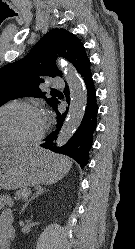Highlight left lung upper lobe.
I'll list each match as a JSON object with an SVG mask.
<instances>
[{"instance_id":"obj_1","label":"left lung upper lobe","mask_w":135,"mask_h":249,"mask_svg":"<svg viewBox=\"0 0 135 249\" xmlns=\"http://www.w3.org/2000/svg\"><path fill=\"white\" fill-rule=\"evenodd\" d=\"M56 55L69 60L80 74L90 62L82 42L65 29L46 33L21 60L0 68V106L20 97H43L52 107L58 99L47 98L39 88L48 77L62 75L55 63Z\"/></svg>"}]
</instances>
